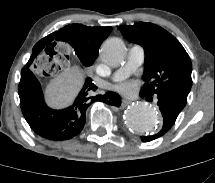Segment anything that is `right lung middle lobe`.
Masks as SVG:
<instances>
[{"label": "right lung middle lobe", "instance_id": "1", "mask_svg": "<svg viewBox=\"0 0 215 183\" xmlns=\"http://www.w3.org/2000/svg\"><path fill=\"white\" fill-rule=\"evenodd\" d=\"M66 42H68L74 48L76 55L84 66L88 67L93 64L95 57H92L85 51L78 33L71 34L67 38Z\"/></svg>", "mask_w": 215, "mask_h": 183}]
</instances>
